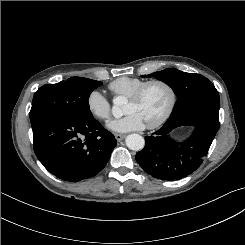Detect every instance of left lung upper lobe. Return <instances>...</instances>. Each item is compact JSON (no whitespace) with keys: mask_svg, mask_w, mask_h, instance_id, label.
<instances>
[{"mask_svg":"<svg viewBox=\"0 0 245 245\" xmlns=\"http://www.w3.org/2000/svg\"><path fill=\"white\" fill-rule=\"evenodd\" d=\"M152 76L168 84L178 96L168 120L193 107L213 106L219 108L220 106L218 91L206 77L200 74L167 68L143 77Z\"/></svg>","mask_w":245,"mask_h":245,"instance_id":"left-lung-upper-lobe-1","label":"left lung upper lobe"}]
</instances>
